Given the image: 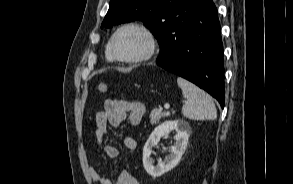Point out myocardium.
Here are the masks:
<instances>
[{
	"instance_id": "obj_1",
	"label": "myocardium",
	"mask_w": 293,
	"mask_h": 184,
	"mask_svg": "<svg viewBox=\"0 0 293 184\" xmlns=\"http://www.w3.org/2000/svg\"><path fill=\"white\" fill-rule=\"evenodd\" d=\"M129 28H133V29H137V30L141 31L147 39V48H146L145 52L139 56L132 57V58L121 57L120 55H118L116 53V51L114 49V42H115V39L118 36V34L120 32H122L123 30L129 29ZM108 46H109L110 54L114 60L119 61V62H123V63L134 64V63L145 62V61H148L149 59H151L157 51L158 42H157V39H156L153 31L147 25H145L141 22H128V23L120 26L113 33V35L111 36L110 41L108 43Z\"/></svg>"
}]
</instances>
